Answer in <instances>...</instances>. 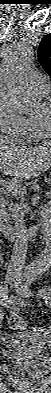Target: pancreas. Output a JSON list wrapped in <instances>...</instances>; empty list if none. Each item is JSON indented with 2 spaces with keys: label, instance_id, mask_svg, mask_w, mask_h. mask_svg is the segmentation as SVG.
Masks as SVG:
<instances>
[{
  "label": "pancreas",
  "instance_id": "obj_1",
  "mask_svg": "<svg viewBox=\"0 0 51 393\" xmlns=\"http://www.w3.org/2000/svg\"><path fill=\"white\" fill-rule=\"evenodd\" d=\"M14 196L16 197L17 200H20L22 202V205L25 207L26 210H28L27 208V204L24 203L25 199H24V193L22 192H13Z\"/></svg>",
  "mask_w": 51,
  "mask_h": 393
}]
</instances>
